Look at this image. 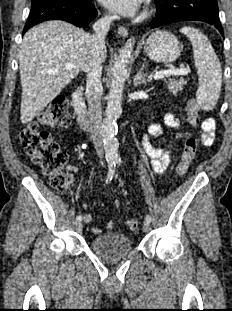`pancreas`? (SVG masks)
Segmentation results:
<instances>
[{"instance_id":"1","label":"pancreas","mask_w":232,"mask_h":311,"mask_svg":"<svg viewBox=\"0 0 232 311\" xmlns=\"http://www.w3.org/2000/svg\"><path fill=\"white\" fill-rule=\"evenodd\" d=\"M165 83L167 84L169 91L172 92L173 94H176L178 91L183 90L185 81L184 79L180 78L177 80H169V81L165 80Z\"/></svg>"}]
</instances>
